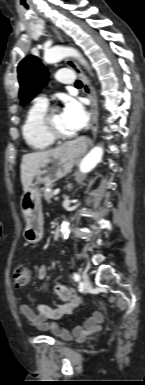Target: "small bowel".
I'll list each match as a JSON object with an SVG mask.
<instances>
[{"label": "small bowel", "instance_id": "obj_1", "mask_svg": "<svg viewBox=\"0 0 145 385\" xmlns=\"http://www.w3.org/2000/svg\"><path fill=\"white\" fill-rule=\"evenodd\" d=\"M47 274V266L42 265L38 268V280H45ZM56 292L62 303L56 306L40 304L37 306L36 311L29 305L22 304L19 306L20 313L39 330L50 331L53 335L64 340L77 339V341H82L87 336L101 330L104 316L98 311L92 312L82 325L75 326L72 330L61 328L56 321L65 315L71 314L80 305L82 299L75 295L71 288L64 285H57Z\"/></svg>", "mask_w": 145, "mask_h": 385}]
</instances>
